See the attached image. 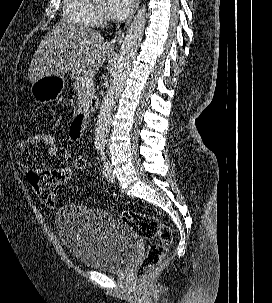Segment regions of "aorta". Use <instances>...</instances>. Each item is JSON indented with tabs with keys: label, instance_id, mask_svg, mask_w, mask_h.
Here are the masks:
<instances>
[{
	"label": "aorta",
	"instance_id": "762f6f07",
	"mask_svg": "<svg viewBox=\"0 0 272 303\" xmlns=\"http://www.w3.org/2000/svg\"><path fill=\"white\" fill-rule=\"evenodd\" d=\"M145 25L146 7L143 5L137 11V14L135 15L122 42L117 59L116 70L113 75V81L102 101L95 129L96 145L104 146L106 143L112 110L124 88L126 78L131 70L132 58L137 53L142 41Z\"/></svg>",
	"mask_w": 272,
	"mask_h": 303
}]
</instances>
